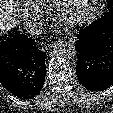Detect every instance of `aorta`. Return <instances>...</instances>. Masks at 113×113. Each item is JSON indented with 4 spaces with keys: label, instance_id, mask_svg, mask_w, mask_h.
<instances>
[{
    "label": "aorta",
    "instance_id": "762f6f07",
    "mask_svg": "<svg viewBox=\"0 0 113 113\" xmlns=\"http://www.w3.org/2000/svg\"><path fill=\"white\" fill-rule=\"evenodd\" d=\"M56 53L66 59H76L77 49L75 45L68 39H61L54 44Z\"/></svg>",
    "mask_w": 113,
    "mask_h": 113
}]
</instances>
